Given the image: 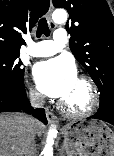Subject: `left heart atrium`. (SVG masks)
Returning a JSON list of instances; mask_svg holds the SVG:
<instances>
[{
	"mask_svg": "<svg viewBox=\"0 0 114 156\" xmlns=\"http://www.w3.org/2000/svg\"><path fill=\"white\" fill-rule=\"evenodd\" d=\"M33 76L42 93L61 100L68 96L77 81L76 67L66 56L38 62Z\"/></svg>",
	"mask_w": 114,
	"mask_h": 156,
	"instance_id": "obj_1",
	"label": "left heart atrium"
}]
</instances>
